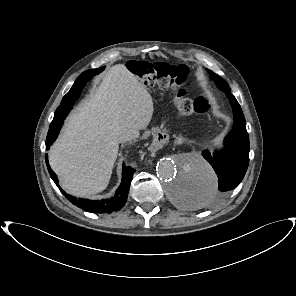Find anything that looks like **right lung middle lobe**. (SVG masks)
<instances>
[{"instance_id":"1","label":"right lung middle lobe","mask_w":296,"mask_h":296,"mask_svg":"<svg viewBox=\"0 0 296 296\" xmlns=\"http://www.w3.org/2000/svg\"><path fill=\"white\" fill-rule=\"evenodd\" d=\"M103 69H104V67H101V68H98V69H92V71H93V72H96V73L98 74V73H100ZM77 99H78V97L72 99V98H71V94L68 92V93L64 96V98H63V100H62L60 106H62V105H70V106H72V105L74 104L75 100H77Z\"/></svg>"}]
</instances>
